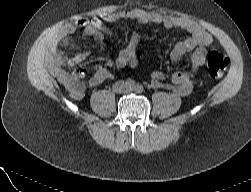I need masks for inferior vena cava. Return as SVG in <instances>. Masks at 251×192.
Masks as SVG:
<instances>
[{
  "mask_svg": "<svg viewBox=\"0 0 251 192\" xmlns=\"http://www.w3.org/2000/svg\"><path fill=\"white\" fill-rule=\"evenodd\" d=\"M119 84H120V82L115 83V85H114V91H115V92H121V91L124 90V89L118 88V85H119Z\"/></svg>",
  "mask_w": 251,
  "mask_h": 192,
  "instance_id": "602c4592",
  "label": "inferior vena cava"
}]
</instances>
